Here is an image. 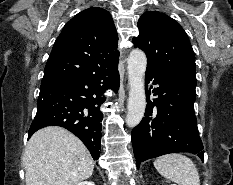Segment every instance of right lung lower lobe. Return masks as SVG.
<instances>
[{"label":"right lung lower lobe","mask_w":233,"mask_h":185,"mask_svg":"<svg viewBox=\"0 0 233 185\" xmlns=\"http://www.w3.org/2000/svg\"><path fill=\"white\" fill-rule=\"evenodd\" d=\"M119 85L118 65L93 74L41 83L37 113L28 137L40 128L58 125L79 137L97 160L104 92L107 89L117 92Z\"/></svg>","instance_id":"1"}]
</instances>
